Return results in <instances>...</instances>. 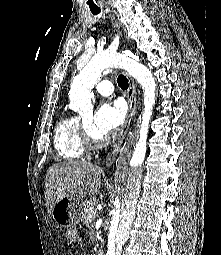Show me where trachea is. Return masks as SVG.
<instances>
[{
	"mask_svg": "<svg viewBox=\"0 0 221 255\" xmlns=\"http://www.w3.org/2000/svg\"><path fill=\"white\" fill-rule=\"evenodd\" d=\"M92 14L97 15L101 12L100 9H91ZM117 83L119 87H121L123 90H127L129 87V83L127 78L124 75H119L117 78Z\"/></svg>",
	"mask_w": 221,
	"mask_h": 255,
	"instance_id": "trachea-1",
	"label": "trachea"
}]
</instances>
